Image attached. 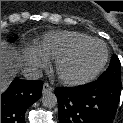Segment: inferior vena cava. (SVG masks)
Returning a JSON list of instances; mask_svg holds the SVG:
<instances>
[{
	"label": "inferior vena cava",
	"instance_id": "1",
	"mask_svg": "<svg viewBox=\"0 0 123 123\" xmlns=\"http://www.w3.org/2000/svg\"><path fill=\"white\" fill-rule=\"evenodd\" d=\"M22 73L27 80H37L42 77V71L36 67H25Z\"/></svg>",
	"mask_w": 123,
	"mask_h": 123
}]
</instances>
